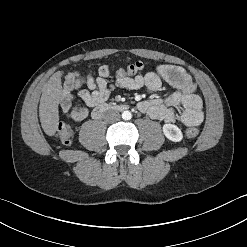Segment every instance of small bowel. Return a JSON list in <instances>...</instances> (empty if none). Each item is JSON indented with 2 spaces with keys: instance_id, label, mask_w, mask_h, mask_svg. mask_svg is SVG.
<instances>
[{
  "instance_id": "c3829d8e",
  "label": "small bowel",
  "mask_w": 247,
  "mask_h": 247,
  "mask_svg": "<svg viewBox=\"0 0 247 247\" xmlns=\"http://www.w3.org/2000/svg\"><path fill=\"white\" fill-rule=\"evenodd\" d=\"M111 73L112 67L109 65H102L96 77L89 74L84 81L80 79L78 73H65L59 103L62 113L67 118L81 121L88 115L90 108L105 103L116 89H145L148 92H157L162 82H166L177 91L165 98L144 100L138 104V109L152 119L167 123L176 120L185 126L202 123L204 119L202 100L196 93L191 77L183 68L163 64L154 71L136 76H123L117 72L115 80L109 83L108 77ZM73 91L77 92L85 106H73Z\"/></svg>"
}]
</instances>
